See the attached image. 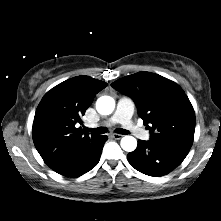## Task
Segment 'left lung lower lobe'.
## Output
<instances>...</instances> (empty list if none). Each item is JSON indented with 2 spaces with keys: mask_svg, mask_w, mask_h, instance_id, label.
I'll return each mask as SVG.
<instances>
[{
  "mask_svg": "<svg viewBox=\"0 0 221 221\" xmlns=\"http://www.w3.org/2000/svg\"><path fill=\"white\" fill-rule=\"evenodd\" d=\"M189 149L168 143L138 140L135 151L127 155L129 163L149 176L168 174L185 159Z\"/></svg>",
  "mask_w": 221,
  "mask_h": 221,
  "instance_id": "0a47b994",
  "label": "left lung lower lobe"
}]
</instances>
